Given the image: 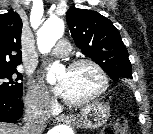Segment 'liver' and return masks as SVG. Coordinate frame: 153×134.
<instances>
[{"label":"liver","instance_id":"obj_1","mask_svg":"<svg viewBox=\"0 0 153 134\" xmlns=\"http://www.w3.org/2000/svg\"><path fill=\"white\" fill-rule=\"evenodd\" d=\"M0 134H23L21 127L0 122Z\"/></svg>","mask_w":153,"mask_h":134}]
</instances>
